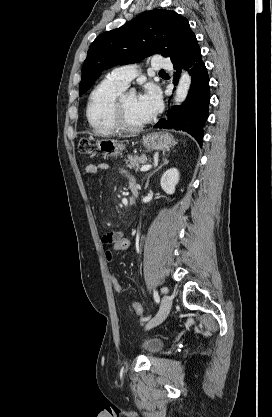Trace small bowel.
<instances>
[{
    "label": "small bowel",
    "mask_w": 272,
    "mask_h": 417,
    "mask_svg": "<svg viewBox=\"0 0 272 417\" xmlns=\"http://www.w3.org/2000/svg\"><path fill=\"white\" fill-rule=\"evenodd\" d=\"M109 169V165L105 162H100L98 164H88L84 167L83 172L85 175L90 176L96 174L98 171H106ZM130 181H135L132 177H130ZM123 236V233L121 231H111L107 232L102 235L101 242L104 246H108L110 242L117 238ZM143 309H140V312L142 313Z\"/></svg>",
    "instance_id": "small-bowel-1"
}]
</instances>
